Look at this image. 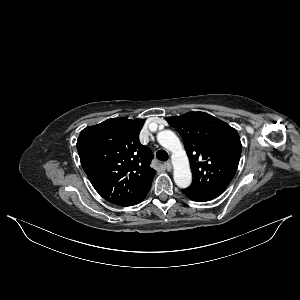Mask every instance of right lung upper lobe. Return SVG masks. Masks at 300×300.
I'll list each match as a JSON object with an SVG mask.
<instances>
[{
	"mask_svg": "<svg viewBox=\"0 0 300 300\" xmlns=\"http://www.w3.org/2000/svg\"><path fill=\"white\" fill-rule=\"evenodd\" d=\"M144 119L112 118L83 129L77 140L82 167L96 191L114 202L141 195L156 173L153 154L139 142Z\"/></svg>",
	"mask_w": 300,
	"mask_h": 300,
	"instance_id": "1",
	"label": "right lung upper lobe"
}]
</instances>
